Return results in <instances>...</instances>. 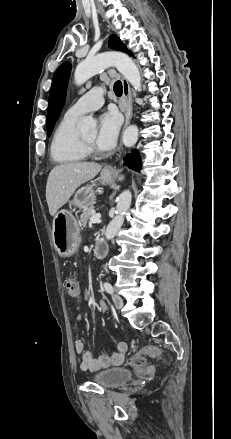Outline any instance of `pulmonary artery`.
<instances>
[{
    "label": "pulmonary artery",
    "mask_w": 231,
    "mask_h": 439,
    "mask_svg": "<svg viewBox=\"0 0 231 439\" xmlns=\"http://www.w3.org/2000/svg\"><path fill=\"white\" fill-rule=\"evenodd\" d=\"M104 103V89L94 87L80 97L66 112L73 118H80L84 114L99 109Z\"/></svg>",
    "instance_id": "pulmonary-artery-1"
}]
</instances>
